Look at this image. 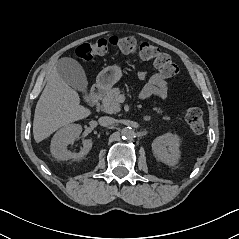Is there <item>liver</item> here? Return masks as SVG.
<instances>
[{
	"label": "liver",
	"instance_id": "liver-1",
	"mask_svg": "<svg viewBox=\"0 0 239 239\" xmlns=\"http://www.w3.org/2000/svg\"><path fill=\"white\" fill-rule=\"evenodd\" d=\"M90 114L88 108L80 105L76 90L61 78L54 67L35 108L34 140L39 143L60 127L86 118Z\"/></svg>",
	"mask_w": 239,
	"mask_h": 239
}]
</instances>
